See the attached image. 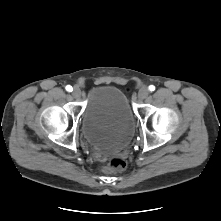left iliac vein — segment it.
Masks as SVG:
<instances>
[{"instance_id": "left-iliac-vein-1", "label": "left iliac vein", "mask_w": 221, "mask_h": 221, "mask_svg": "<svg viewBox=\"0 0 221 221\" xmlns=\"http://www.w3.org/2000/svg\"><path fill=\"white\" fill-rule=\"evenodd\" d=\"M148 94H149V90H148V88L146 86H144V87L139 89V91H138V98L140 100H143V99H145L148 96Z\"/></svg>"}]
</instances>
